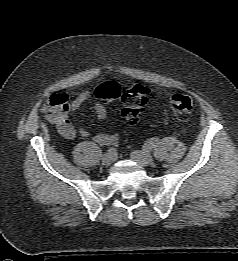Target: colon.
Segmentation results:
<instances>
[{
	"label": "colon",
	"instance_id": "5ec220e1",
	"mask_svg": "<svg viewBox=\"0 0 238 261\" xmlns=\"http://www.w3.org/2000/svg\"><path fill=\"white\" fill-rule=\"evenodd\" d=\"M96 96L101 102H110L121 99L123 102V116L130 124H137L144 111L150 96L147 87L136 84L122 92L116 82H106L96 89ZM68 97L57 93L50 96L44 104V111L52 122H56L68 111ZM170 107L174 115L180 120H187L193 110V99L185 93H176L170 99Z\"/></svg>",
	"mask_w": 238,
	"mask_h": 261
}]
</instances>
